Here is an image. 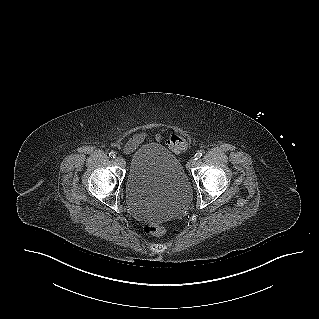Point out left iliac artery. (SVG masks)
Wrapping results in <instances>:
<instances>
[{
	"mask_svg": "<svg viewBox=\"0 0 319 319\" xmlns=\"http://www.w3.org/2000/svg\"><path fill=\"white\" fill-rule=\"evenodd\" d=\"M194 157H195V160L200 159L202 157V152H197Z\"/></svg>",
	"mask_w": 319,
	"mask_h": 319,
	"instance_id": "44dca946",
	"label": "left iliac artery"
}]
</instances>
